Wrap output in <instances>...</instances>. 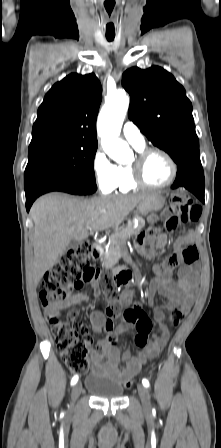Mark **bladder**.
<instances>
[{"instance_id":"31cf9c89","label":"bladder","mask_w":221,"mask_h":448,"mask_svg":"<svg viewBox=\"0 0 221 448\" xmlns=\"http://www.w3.org/2000/svg\"><path fill=\"white\" fill-rule=\"evenodd\" d=\"M86 390L95 398L117 400L123 397L124 386L121 381L95 372L86 377Z\"/></svg>"}]
</instances>
